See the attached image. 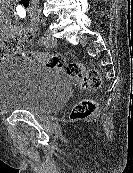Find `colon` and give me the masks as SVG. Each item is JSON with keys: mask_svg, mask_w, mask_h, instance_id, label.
I'll list each match as a JSON object with an SVG mask.
<instances>
[{"mask_svg": "<svg viewBox=\"0 0 133 173\" xmlns=\"http://www.w3.org/2000/svg\"><path fill=\"white\" fill-rule=\"evenodd\" d=\"M20 47V41L17 39L9 40L5 47L0 50V54H9ZM30 59L40 61L51 68H65L67 75L74 80L83 90H96L102 85L100 73L95 69H89L80 62L66 63L63 56L59 54L48 55L38 52L25 54ZM96 109V103L92 99H82L74 108L72 118L85 119L89 117Z\"/></svg>", "mask_w": 133, "mask_h": 173, "instance_id": "1", "label": "colon"}]
</instances>
